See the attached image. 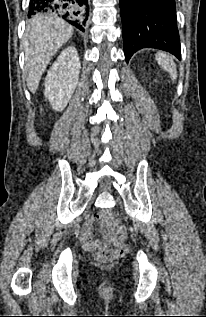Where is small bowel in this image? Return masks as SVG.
<instances>
[{
	"label": "small bowel",
	"instance_id": "c3829d8e",
	"mask_svg": "<svg viewBox=\"0 0 206 317\" xmlns=\"http://www.w3.org/2000/svg\"><path fill=\"white\" fill-rule=\"evenodd\" d=\"M98 216H92L89 218L81 228V240L86 246L88 241L92 239V229L97 221ZM115 237L117 239H122L124 237V230L121 227H118L115 232Z\"/></svg>",
	"mask_w": 206,
	"mask_h": 317
}]
</instances>
